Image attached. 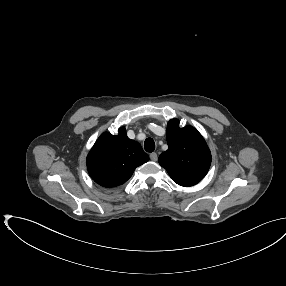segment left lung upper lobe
I'll use <instances>...</instances> for the list:
<instances>
[{"label": "left lung upper lobe", "mask_w": 286, "mask_h": 286, "mask_svg": "<svg viewBox=\"0 0 286 286\" xmlns=\"http://www.w3.org/2000/svg\"><path fill=\"white\" fill-rule=\"evenodd\" d=\"M168 150L159 156V164L180 186H193L207 174L210 150L201 134L192 126L179 127V120L167 125Z\"/></svg>", "instance_id": "5c2ea615"}]
</instances>
